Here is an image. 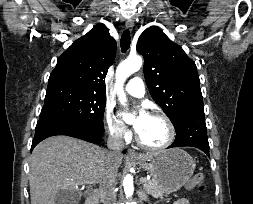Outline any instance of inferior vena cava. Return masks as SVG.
<instances>
[{
  "mask_svg": "<svg viewBox=\"0 0 253 204\" xmlns=\"http://www.w3.org/2000/svg\"><path fill=\"white\" fill-rule=\"evenodd\" d=\"M107 146L109 149L107 151L108 171L100 183V196L104 204H116V193L114 190L117 170L113 166V159L120 154L121 149L124 147L123 138L118 132H112L108 138Z\"/></svg>",
  "mask_w": 253,
  "mask_h": 204,
  "instance_id": "obj_1",
  "label": "inferior vena cava"
}]
</instances>
